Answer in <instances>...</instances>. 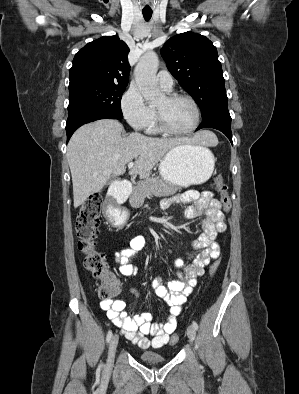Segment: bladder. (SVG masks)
Segmentation results:
<instances>
[{
	"label": "bladder",
	"instance_id": "31cf9c89",
	"mask_svg": "<svg viewBox=\"0 0 299 394\" xmlns=\"http://www.w3.org/2000/svg\"><path fill=\"white\" fill-rule=\"evenodd\" d=\"M139 359L146 365H160L167 361L166 357L154 352H143L139 355Z\"/></svg>",
	"mask_w": 299,
	"mask_h": 394
}]
</instances>
